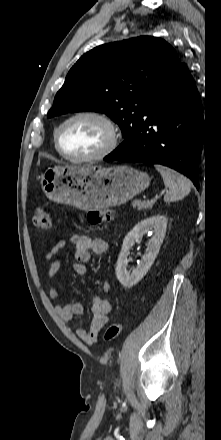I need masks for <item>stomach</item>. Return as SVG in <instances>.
Returning a JSON list of instances; mask_svg holds the SVG:
<instances>
[{
  "instance_id": "stomach-1",
  "label": "stomach",
  "mask_w": 221,
  "mask_h": 440,
  "mask_svg": "<svg viewBox=\"0 0 221 440\" xmlns=\"http://www.w3.org/2000/svg\"><path fill=\"white\" fill-rule=\"evenodd\" d=\"M150 181L146 172L127 165H90L48 169L40 183L50 200L92 211L126 203L144 191Z\"/></svg>"
}]
</instances>
